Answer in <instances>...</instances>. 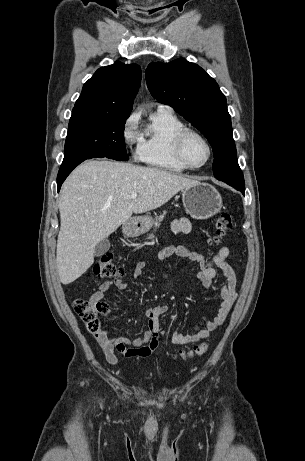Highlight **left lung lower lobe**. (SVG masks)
I'll return each instance as SVG.
<instances>
[{
    "label": "left lung lower lobe",
    "mask_w": 305,
    "mask_h": 461,
    "mask_svg": "<svg viewBox=\"0 0 305 461\" xmlns=\"http://www.w3.org/2000/svg\"><path fill=\"white\" fill-rule=\"evenodd\" d=\"M240 191L244 194V192H245V187L241 188Z\"/></svg>",
    "instance_id": "1"
}]
</instances>
